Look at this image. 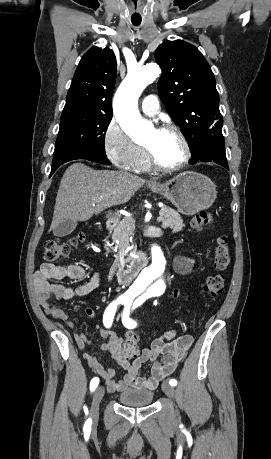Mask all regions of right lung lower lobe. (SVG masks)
Instances as JSON below:
<instances>
[{
  "label": "right lung lower lobe",
  "instance_id": "right-lung-lower-lobe-1",
  "mask_svg": "<svg viewBox=\"0 0 271 459\" xmlns=\"http://www.w3.org/2000/svg\"><path fill=\"white\" fill-rule=\"evenodd\" d=\"M75 159H86V160L93 161V162L110 164L105 153L95 152V151H90V150H85V149H73V150L64 152L60 155H57L53 158L50 177L60 165H62L65 162H68L70 160H75Z\"/></svg>",
  "mask_w": 271,
  "mask_h": 459
}]
</instances>
